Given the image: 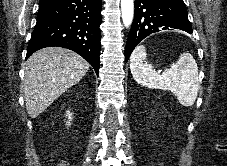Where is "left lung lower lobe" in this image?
I'll return each mask as SVG.
<instances>
[{
    "label": "left lung lower lobe",
    "instance_id": "1",
    "mask_svg": "<svg viewBox=\"0 0 227 166\" xmlns=\"http://www.w3.org/2000/svg\"><path fill=\"white\" fill-rule=\"evenodd\" d=\"M135 16L125 47V61L144 38L153 33L180 29L192 33L183 0H135Z\"/></svg>",
    "mask_w": 227,
    "mask_h": 166
}]
</instances>
